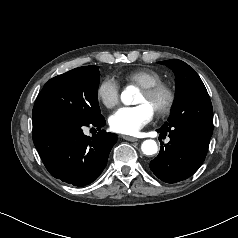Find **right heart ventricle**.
I'll return each instance as SVG.
<instances>
[{
	"label": "right heart ventricle",
	"mask_w": 238,
	"mask_h": 238,
	"mask_svg": "<svg viewBox=\"0 0 238 238\" xmlns=\"http://www.w3.org/2000/svg\"><path fill=\"white\" fill-rule=\"evenodd\" d=\"M124 79L138 86L147 87L158 82H162V76L159 72L149 68H138L127 72Z\"/></svg>",
	"instance_id": "right-heart-ventricle-1"
}]
</instances>
